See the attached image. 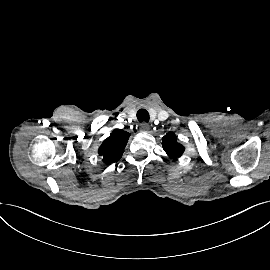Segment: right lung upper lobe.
<instances>
[{
  "label": "right lung upper lobe",
  "instance_id": "obj_1",
  "mask_svg": "<svg viewBox=\"0 0 270 270\" xmlns=\"http://www.w3.org/2000/svg\"><path fill=\"white\" fill-rule=\"evenodd\" d=\"M130 133L115 129L110 136L103 141L98 153L105 164H111L121 159Z\"/></svg>",
  "mask_w": 270,
  "mask_h": 270
}]
</instances>
